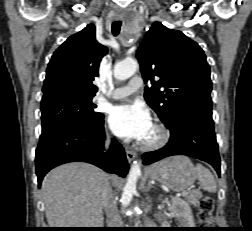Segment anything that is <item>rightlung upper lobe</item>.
I'll return each mask as SVG.
<instances>
[{"mask_svg":"<svg viewBox=\"0 0 252 231\" xmlns=\"http://www.w3.org/2000/svg\"><path fill=\"white\" fill-rule=\"evenodd\" d=\"M107 51L96 40L93 24L70 36L48 64L42 99L66 93L95 96L98 88L92 81L98 76L100 61Z\"/></svg>","mask_w":252,"mask_h":231,"instance_id":"obj_1","label":"right lung upper lobe"}]
</instances>
